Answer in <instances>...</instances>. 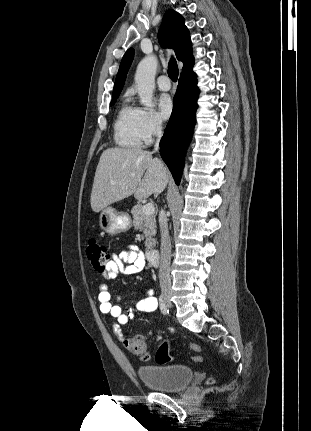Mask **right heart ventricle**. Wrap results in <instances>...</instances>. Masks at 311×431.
<instances>
[{
    "label": "right heart ventricle",
    "instance_id": "right-heart-ventricle-1",
    "mask_svg": "<svg viewBox=\"0 0 311 431\" xmlns=\"http://www.w3.org/2000/svg\"><path fill=\"white\" fill-rule=\"evenodd\" d=\"M113 138L120 148L139 149L145 132L140 110L124 102L117 111L113 127Z\"/></svg>",
    "mask_w": 311,
    "mask_h": 431
}]
</instances>
